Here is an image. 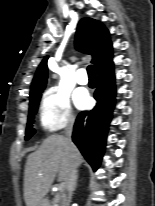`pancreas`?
<instances>
[{"label":"pancreas","instance_id":"pancreas-1","mask_svg":"<svg viewBox=\"0 0 155 206\" xmlns=\"http://www.w3.org/2000/svg\"><path fill=\"white\" fill-rule=\"evenodd\" d=\"M64 201V197L58 194L53 198L51 206H64Z\"/></svg>","mask_w":155,"mask_h":206}]
</instances>
